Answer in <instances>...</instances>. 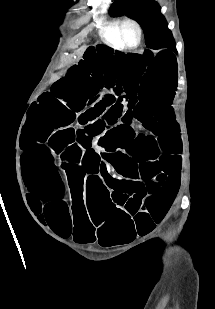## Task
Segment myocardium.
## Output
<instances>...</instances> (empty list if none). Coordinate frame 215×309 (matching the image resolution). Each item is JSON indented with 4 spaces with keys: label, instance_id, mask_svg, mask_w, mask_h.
<instances>
[{
    "label": "myocardium",
    "instance_id": "f54148a6",
    "mask_svg": "<svg viewBox=\"0 0 215 309\" xmlns=\"http://www.w3.org/2000/svg\"><path fill=\"white\" fill-rule=\"evenodd\" d=\"M118 34H119V42L122 43L123 48H137L141 43L142 31L137 22L131 19H124L119 21L117 24ZM127 30H131L134 33L135 40L132 44H128L125 42L124 33Z\"/></svg>",
    "mask_w": 215,
    "mask_h": 309
}]
</instances>
